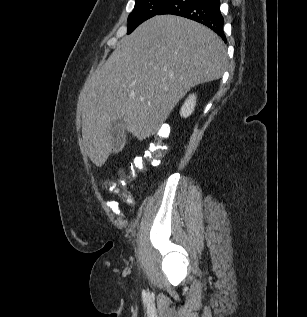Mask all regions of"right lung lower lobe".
<instances>
[{"label": "right lung lower lobe", "instance_id": "right-lung-lower-lobe-1", "mask_svg": "<svg viewBox=\"0 0 307 317\" xmlns=\"http://www.w3.org/2000/svg\"><path fill=\"white\" fill-rule=\"evenodd\" d=\"M163 14L178 15L197 21L211 28L226 41L220 0H172L158 15Z\"/></svg>", "mask_w": 307, "mask_h": 317}]
</instances>
